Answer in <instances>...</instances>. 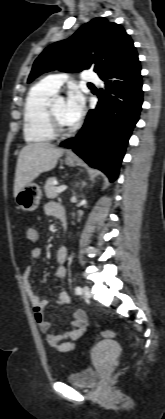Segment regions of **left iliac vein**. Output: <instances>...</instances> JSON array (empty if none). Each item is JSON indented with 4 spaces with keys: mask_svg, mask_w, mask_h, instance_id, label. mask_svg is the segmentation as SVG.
<instances>
[{
    "mask_svg": "<svg viewBox=\"0 0 165 419\" xmlns=\"http://www.w3.org/2000/svg\"><path fill=\"white\" fill-rule=\"evenodd\" d=\"M82 297H83L85 300H88V299H90V298H91V292H90V289H89L87 286L83 287V290H82Z\"/></svg>",
    "mask_w": 165,
    "mask_h": 419,
    "instance_id": "left-iliac-vein-1",
    "label": "left iliac vein"
}]
</instances>
